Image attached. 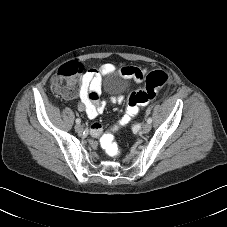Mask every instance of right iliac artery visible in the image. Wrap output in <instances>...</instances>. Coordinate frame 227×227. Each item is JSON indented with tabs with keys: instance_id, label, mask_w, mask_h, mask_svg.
<instances>
[{
	"instance_id": "right-iliac-artery-1",
	"label": "right iliac artery",
	"mask_w": 227,
	"mask_h": 227,
	"mask_svg": "<svg viewBox=\"0 0 227 227\" xmlns=\"http://www.w3.org/2000/svg\"><path fill=\"white\" fill-rule=\"evenodd\" d=\"M81 120L79 118L76 119V123L80 124Z\"/></svg>"
}]
</instances>
